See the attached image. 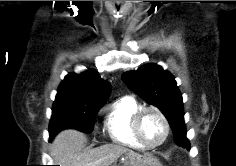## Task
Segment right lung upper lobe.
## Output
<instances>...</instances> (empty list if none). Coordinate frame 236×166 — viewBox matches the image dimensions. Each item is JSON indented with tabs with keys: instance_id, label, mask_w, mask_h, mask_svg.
<instances>
[{
	"instance_id": "obj_1",
	"label": "right lung upper lobe",
	"mask_w": 236,
	"mask_h": 166,
	"mask_svg": "<svg viewBox=\"0 0 236 166\" xmlns=\"http://www.w3.org/2000/svg\"><path fill=\"white\" fill-rule=\"evenodd\" d=\"M110 91V83L103 80L95 70H88L81 74L69 73L58 88L55 102L103 106Z\"/></svg>"
}]
</instances>
